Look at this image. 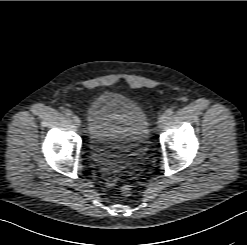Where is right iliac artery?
I'll list each match as a JSON object with an SVG mask.
<instances>
[{"label": "right iliac artery", "mask_w": 247, "mask_h": 245, "mask_svg": "<svg viewBox=\"0 0 247 245\" xmlns=\"http://www.w3.org/2000/svg\"><path fill=\"white\" fill-rule=\"evenodd\" d=\"M65 114H66V116L71 117L72 116V111L69 110V109H66L65 110Z\"/></svg>", "instance_id": "obj_1"}]
</instances>
